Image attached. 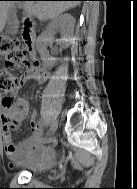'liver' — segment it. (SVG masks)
Listing matches in <instances>:
<instances>
[{
    "instance_id": "liver-1",
    "label": "liver",
    "mask_w": 137,
    "mask_h": 189,
    "mask_svg": "<svg viewBox=\"0 0 137 189\" xmlns=\"http://www.w3.org/2000/svg\"><path fill=\"white\" fill-rule=\"evenodd\" d=\"M79 1H25L24 11L27 15H34L42 21L54 19L62 12L76 7ZM15 5L12 1H0V32L5 27L8 10Z\"/></svg>"
}]
</instances>
